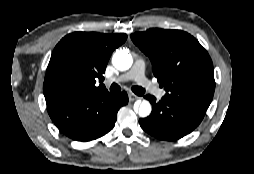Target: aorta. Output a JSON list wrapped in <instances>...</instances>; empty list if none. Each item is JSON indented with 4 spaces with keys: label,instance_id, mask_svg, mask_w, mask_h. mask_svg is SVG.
<instances>
[{
    "label": "aorta",
    "instance_id": "762f6f07",
    "mask_svg": "<svg viewBox=\"0 0 254 174\" xmlns=\"http://www.w3.org/2000/svg\"><path fill=\"white\" fill-rule=\"evenodd\" d=\"M112 63L116 69L126 71L132 66L133 59L131 54L127 51L120 50L113 55ZM151 110V104L148 101L143 100L138 107V114L140 117L145 118L150 115Z\"/></svg>",
    "mask_w": 254,
    "mask_h": 174
}]
</instances>
